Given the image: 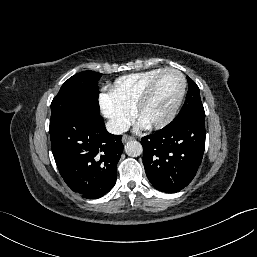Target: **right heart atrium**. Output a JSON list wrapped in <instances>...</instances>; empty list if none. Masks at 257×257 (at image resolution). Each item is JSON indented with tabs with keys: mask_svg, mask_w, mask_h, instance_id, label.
Listing matches in <instances>:
<instances>
[{
	"mask_svg": "<svg viewBox=\"0 0 257 257\" xmlns=\"http://www.w3.org/2000/svg\"><path fill=\"white\" fill-rule=\"evenodd\" d=\"M100 105L103 115L108 119L111 129L115 133L126 130L134 115L131 109L120 105L108 94L101 95Z\"/></svg>",
	"mask_w": 257,
	"mask_h": 257,
	"instance_id": "right-heart-atrium-1",
	"label": "right heart atrium"
}]
</instances>
